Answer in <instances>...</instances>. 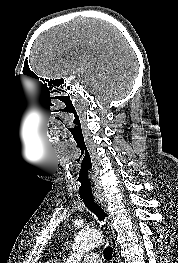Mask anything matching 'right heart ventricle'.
Returning <instances> with one entry per match:
<instances>
[{
    "label": "right heart ventricle",
    "mask_w": 178,
    "mask_h": 263,
    "mask_svg": "<svg viewBox=\"0 0 178 263\" xmlns=\"http://www.w3.org/2000/svg\"><path fill=\"white\" fill-rule=\"evenodd\" d=\"M50 263H59L58 261H51Z\"/></svg>",
    "instance_id": "right-heart-ventricle-1"
}]
</instances>
